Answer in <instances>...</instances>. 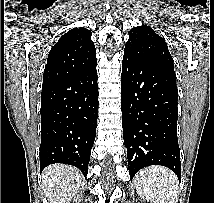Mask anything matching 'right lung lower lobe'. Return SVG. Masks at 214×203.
I'll list each match as a JSON object with an SVG mask.
<instances>
[{
  "label": "right lung lower lobe",
  "mask_w": 214,
  "mask_h": 203,
  "mask_svg": "<svg viewBox=\"0 0 214 203\" xmlns=\"http://www.w3.org/2000/svg\"><path fill=\"white\" fill-rule=\"evenodd\" d=\"M40 170L54 163L76 166L86 176L98 113L96 65L42 88Z\"/></svg>",
  "instance_id": "98d812e1"
}]
</instances>
